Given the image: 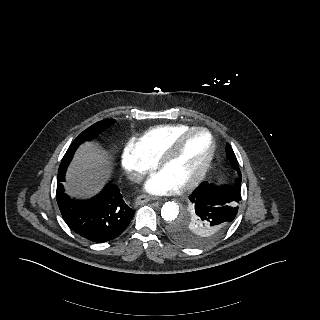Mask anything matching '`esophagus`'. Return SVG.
Listing matches in <instances>:
<instances>
[{
	"label": "esophagus",
	"instance_id": "obj_1",
	"mask_svg": "<svg viewBox=\"0 0 320 320\" xmlns=\"http://www.w3.org/2000/svg\"><path fill=\"white\" fill-rule=\"evenodd\" d=\"M150 200H151V198L149 196L141 195V196L136 198L135 203L137 205H141V204L149 202Z\"/></svg>",
	"mask_w": 320,
	"mask_h": 320
}]
</instances>
